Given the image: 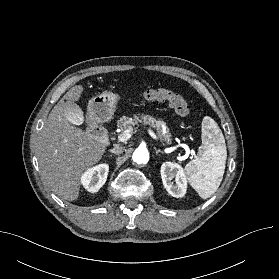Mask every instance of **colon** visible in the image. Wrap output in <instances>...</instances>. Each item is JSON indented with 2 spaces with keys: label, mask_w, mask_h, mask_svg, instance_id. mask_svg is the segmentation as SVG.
Returning <instances> with one entry per match:
<instances>
[{
  "label": "colon",
  "mask_w": 279,
  "mask_h": 279,
  "mask_svg": "<svg viewBox=\"0 0 279 279\" xmlns=\"http://www.w3.org/2000/svg\"><path fill=\"white\" fill-rule=\"evenodd\" d=\"M143 97L147 101H167L175 112L182 117L189 114L190 108L183 96L168 89H148L143 93Z\"/></svg>",
  "instance_id": "obj_1"
}]
</instances>
